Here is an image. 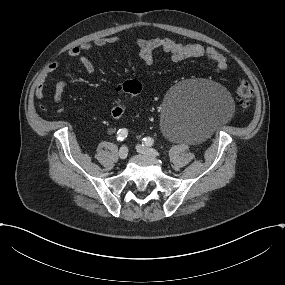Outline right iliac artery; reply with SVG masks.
I'll use <instances>...</instances> for the list:
<instances>
[{"instance_id":"1","label":"right iliac artery","mask_w":285,"mask_h":285,"mask_svg":"<svg viewBox=\"0 0 285 285\" xmlns=\"http://www.w3.org/2000/svg\"><path fill=\"white\" fill-rule=\"evenodd\" d=\"M128 135V131L127 129L123 128V129H120L118 132H117V140L118 141H123Z\"/></svg>"}]
</instances>
